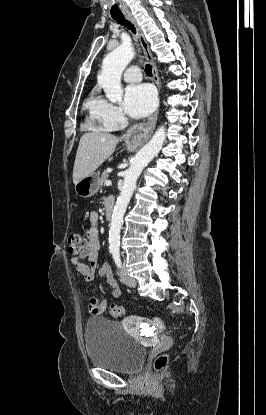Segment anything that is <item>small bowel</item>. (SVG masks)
<instances>
[{"instance_id":"small-bowel-1","label":"small bowel","mask_w":266,"mask_h":415,"mask_svg":"<svg viewBox=\"0 0 266 415\" xmlns=\"http://www.w3.org/2000/svg\"><path fill=\"white\" fill-rule=\"evenodd\" d=\"M108 201H114L112 197H108L105 203ZM99 215L96 211H92L89 215L90 228L87 231L88 243L87 246L79 253L78 256H74L71 259V264L75 270L81 274L85 282H92L95 279V271L98 265V253L100 250V239L97 231ZM98 274L103 277L109 287L111 294L114 297H119L121 289L117 281L114 279L109 264L104 263L99 269ZM102 293H106L103 287H100ZM107 302L100 300L99 298H92L88 305V311L90 314H99L105 310Z\"/></svg>"}]
</instances>
